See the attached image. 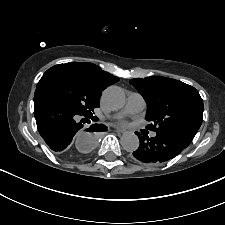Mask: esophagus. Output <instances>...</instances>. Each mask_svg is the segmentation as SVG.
<instances>
[{
	"label": "esophagus",
	"mask_w": 225,
	"mask_h": 225,
	"mask_svg": "<svg viewBox=\"0 0 225 225\" xmlns=\"http://www.w3.org/2000/svg\"><path fill=\"white\" fill-rule=\"evenodd\" d=\"M116 132H117V133H123L124 130H123V129H120V128H116Z\"/></svg>",
	"instance_id": "34e87169"
}]
</instances>
